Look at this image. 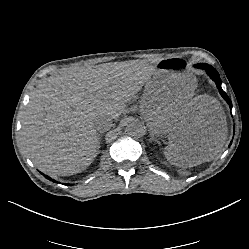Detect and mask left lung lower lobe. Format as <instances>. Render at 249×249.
Returning <instances> with one entry per match:
<instances>
[{
	"mask_svg": "<svg viewBox=\"0 0 249 249\" xmlns=\"http://www.w3.org/2000/svg\"><path fill=\"white\" fill-rule=\"evenodd\" d=\"M196 67L206 70L209 77L216 83L217 88H218L221 96L229 104L230 108H232V104H231V101H230L229 97L227 96V94L221 88V79L219 77L218 72L212 66H210L208 64H199V65H196ZM231 143H230V145H231Z\"/></svg>",
	"mask_w": 249,
	"mask_h": 249,
	"instance_id": "left-lung-lower-lobe-1",
	"label": "left lung lower lobe"
}]
</instances>
